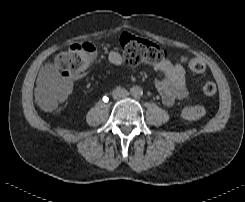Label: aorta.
Returning <instances> with one entry per match:
<instances>
[{
    "mask_svg": "<svg viewBox=\"0 0 245 202\" xmlns=\"http://www.w3.org/2000/svg\"><path fill=\"white\" fill-rule=\"evenodd\" d=\"M131 94L134 96V97H139L143 94V90L139 87V86H134L132 89H131Z\"/></svg>",
    "mask_w": 245,
    "mask_h": 202,
    "instance_id": "aorta-1",
    "label": "aorta"
}]
</instances>
